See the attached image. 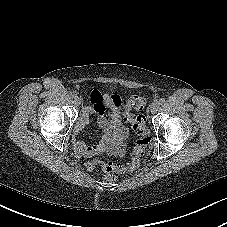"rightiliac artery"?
Segmentation results:
<instances>
[{
    "label": "right iliac artery",
    "mask_w": 227,
    "mask_h": 227,
    "mask_svg": "<svg viewBox=\"0 0 227 227\" xmlns=\"http://www.w3.org/2000/svg\"><path fill=\"white\" fill-rule=\"evenodd\" d=\"M70 96H71L72 98H74V97L76 96V94H75L74 92H71V93H70Z\"/></svg>",
    "instance_id": "1"
}]
</instances>
